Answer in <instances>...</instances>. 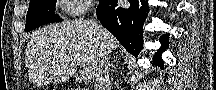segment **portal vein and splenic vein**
<instances>
[{"mask_svg": "<svg viewBox=\"0 0 216 90\" xmlns=\"http://www.w3.org/2000/svg\"><path fill=\"white\" fill-rule=\"evenodd\" d=\"M78 60H79V58H78ZM78 66H80V62H78ZM82 76H83V78H88V74H86V72H85V74H82ZM83 78H81V80H83Z\"/></svg>", "mask_w": 216, "mask_h": 90, "instance_id": "portal-vein-and-splenic-vein-1", "label": "portal vein and splenic vein"}]
</instances>
